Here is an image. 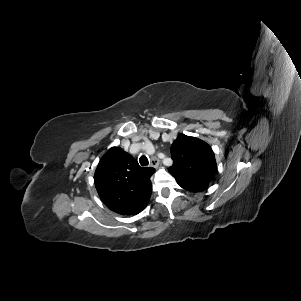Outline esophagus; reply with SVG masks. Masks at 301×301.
Instances as JSON below:
<instances>
[{
    "instance_id": "obj_1",
    "label": "esophagus",
    "mask_w": 301,
    "mask_h": 301,
    "mask_svg": "<svg viewBox=\"0 0 301 301\" xmlns=\"http://www.w3.org/2000/svg\"><path fill=\"white\" fill-rule=\"evenodd\" d=\"M159 164H160V161H159L158 158H156V157H152V158H151V160H150V165H151L152 167H158Z\"/></svg>"
}]
</instances>
